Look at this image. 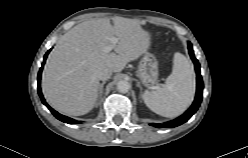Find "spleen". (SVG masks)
Here are the masks:
<instances>
[{"label":"spleen","instance_id":"3e777b00","mask_svg":"<svg viewBox=\"0 0 248 158\" xmlns=\"http://www.w3.org/2000/svg\"><path fill=\"white\" fill-rule=\"evenodd\" d=\"M195 94V74L188 59L175 53L172 73L165 84L155 91H145L146 106L164 117L182 114L192 103Z\"/></svg>","mask_w":248,"mask_h":158}]
</instances>
